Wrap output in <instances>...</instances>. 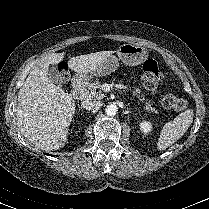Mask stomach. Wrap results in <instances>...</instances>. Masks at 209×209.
Instances as JSON below:
<instances>
[{"mask_svg": "<svg viewBox=\"0 0 209 209\" xmlns=\"http://www.w3.org/2000/svg\"><path fill=\"white\" fill-rule=\"evenodd\" d=\"M118 58L114 55L107 57L97 68L90 72V75H80L83 79H89L94 76H105L114 72L118 67V61L121 60L125 65L137 66L142 64L148 57L147 49L137 44H123L117 51Z\"/></svg>", "mask_w": 209, "mask_h": 209, "instance_id": "obj_1", "label": "stomach"}]
</instances>
